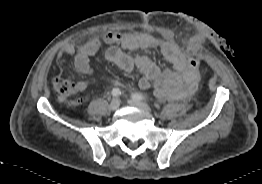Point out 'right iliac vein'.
Instances as JSON below:
<instances>
[{
    "label": "right iliac vein",
    "instance_id": "1",
    "mask_svg": "<svg viewBox=\"0 0 262 184\" xmlns=\"http://www.w3.org/2000/svg\"><path fill=\"white\" fill-rule=\"evenodd\" d=\"M119 106H120V101H119V99L114 98V99L111 101V103H110V105H109V108H110V110L115 111V110H117V109L119 108Z\"/></svg>",
    "mask_w": 262,
    "mask_h": 184
}]
</instances>
